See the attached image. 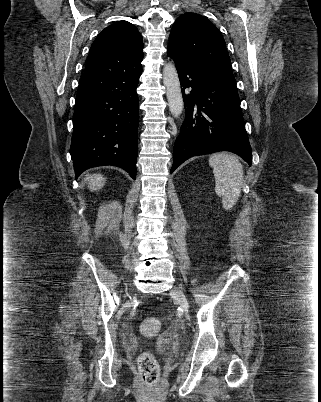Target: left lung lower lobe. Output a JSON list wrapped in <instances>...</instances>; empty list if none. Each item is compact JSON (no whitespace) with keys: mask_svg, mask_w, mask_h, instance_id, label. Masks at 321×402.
Returning <instances> with one entry per match:
<instances>
[{"mask_svg":"<svg viewBox=\"0 0 321 402\" xmlns=\"http://www.w3.org/2000/svg\"><path fill=\"white\" fill-rule=\"evenodd\" d=\"M167 53L175 61L185 106L171 173L190 157L218 151L236 153L251 165L252 149L234 75L194 67Z\"/></svg>","mask_w":321,"mask_h":402,"instance_id":"left-lung-lower-lobe-1","label":"left lung lower lobe"}]
</instances>
